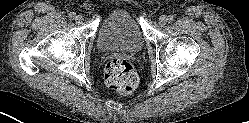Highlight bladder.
I'll use <instances>...</instances> for the list:
<instances>
[{"mask_svg":"<svg viewBox=\"0 0 249 123\" xmlns=\"http://www.w3.org/2000/svg\"><path fill=\"white\" fill-rule=\"evenodd\" d=\"M142 26L129 7L112 11L101 23L96 46L101 51L121 50L136 52L145 45Z\"/></svg>","mask_w":249,"mask_h":123,"instance_id":"31cf9c89","label":"bladder"}]
</instances>
